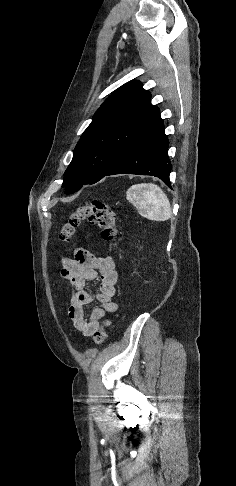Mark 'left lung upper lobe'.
I'll return each mask as SVG.
<instances>
[{
  "mask_svg": "<svg viewBox=\"0 0 236 486\" xmlns=\"http://www.w3.org/2000/svg\"><path fill=\"white\" fill-rule=\"evenodd\" d=\"M150 99V92L139 81L122 85L106 99L82 134L65 171L62 186L67 194L102 179L131 143L160 117V110Z\"/></svg>",
  "mask_w": 236,
  "mask_h": 486,
  "instance_id": "5c2ea615",
  "label": "left lung upper lobe"
}]
</instances>
